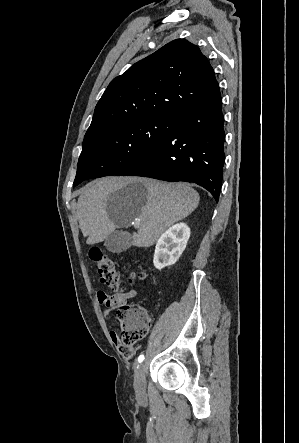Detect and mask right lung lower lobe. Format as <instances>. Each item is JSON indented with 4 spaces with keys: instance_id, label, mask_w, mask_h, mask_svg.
<instances>
[{
    "instance_id": "obj_1",
    "label": "right lung lower lobe",
    "mask_w": 299,
    "mask_h": 443,
    "mask_svg": "<svg viewBox=\"0 0 299 443\" xmlns=\"http://www.w3.org/2000/svg\"><path fill=\"white\" fill-rule=\"evenodd\" d=\"M169 136L117 176L194 182L218 202L224 167V118L217 85L208 95L170 116Z\"/></svg>"
}]
</instances>
